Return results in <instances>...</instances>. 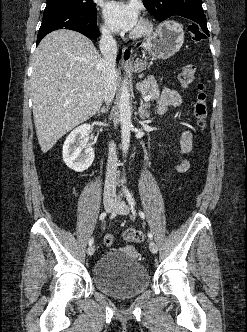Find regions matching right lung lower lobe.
I'll return each instance as SVG.
<instances>
[{
	"instance_id": "98d812e1",
	"label": "right lung lower lobe",
	"mask_w": 247,
	"mask_h": 332,
	"mask_svg": "<svg viewBox=\"0 0 247 332\" xmlns=\"http://www.w3.org/2000/svg\"><path fill=\"white\" fill-rule=\"evenodd\" d=\"M97 15L89 14L76 9L45 10L40 26L37 45L48 33L58 29H70L80 32L90 39L100 36L97 28ZM121 55H118L120 59Z\"/></svg>"
}]
</instances>
